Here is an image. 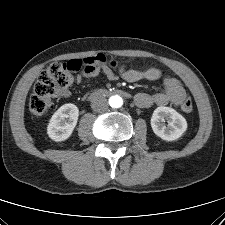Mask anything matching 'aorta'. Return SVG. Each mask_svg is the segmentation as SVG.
<instances>
[{
    "instance_id": "1",
    "label": "aorta",
    "mask_w": 225,
    "mask_h": 225,
    "mask_svg": "<svg viewBox=\"0 0 225 225\" xmlns=\"http://www.w3.org/2000/svg\"><path fill=\"white\" fill-rule=\"evenodd\" d=\"M109 104L113 108H120L123 105V99L119 95L111 96L109 99Z\"/></svg>"
}]
</instances>
